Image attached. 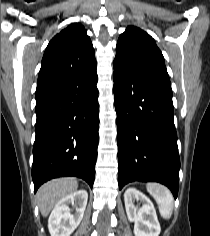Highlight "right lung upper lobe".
Segmentation results:
<instances>
[{"mask_svg":"<svg viewBox=\"0 0 210 236\" xmlns=\"http://www.w3.org/2000/svg\"><path fill=\"white\" fill-rule=\"evenodd\" d=\"M96 68L94 49L79 23L69 25L48 44L41 64L36 91Z\"/></svg>","mask_w":210,"mask_h":236,"instance_id":"right-lung-upper-lobe-1","label":"right lung upper lobe"}]
</instances>
